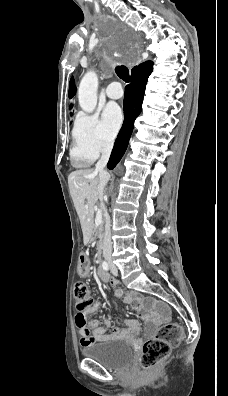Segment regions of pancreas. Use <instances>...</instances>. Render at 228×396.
I'll return each instance as SVG.
<instances>
[{
	"instance_id": "1",
	"label": "pancreas",
	"mask_w": 228,
	"mask_h": 396,
	"mask_svg": "<svg viewBox=\"0 0 228 396\" xmlns=\"http://www.w3.org/2000/svg\"><path fill=\"white\" fill-rule=\"evenodd\" d=\"M93 227H94V224H93V218H92V220H91V233L93 232L92 234L95 235L96 232H97V237H98L97 250H98V253L100 254L101 253V249H102L103 235H104L103 225L101 223L97 227V229L93 228ZM90 240H91L90 242H92L93 239L91 238Z\"/></svg>"
}]
</instances>
